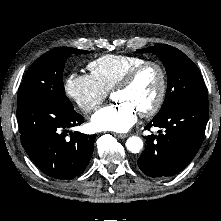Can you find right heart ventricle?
I'll return each instance as SVG.
<instances>
[{
  "label": "right heart ventricle",
  "mask_w": 221,
  "mask_h": 221,
  "mask_svg": "<svg viewBox=\"0 0 221 221\" xmlns=\"http://www.w3.org/2000/svg\"><path fill=\"white\" fill-rule=\"evenodd\" d=\"M143 62L145 59L139 56L108 54L92 61L88 69L108 92L113 90L130 70Z\"/></svg>",
  "instance_id": "obj_1"
}]
</instances>
